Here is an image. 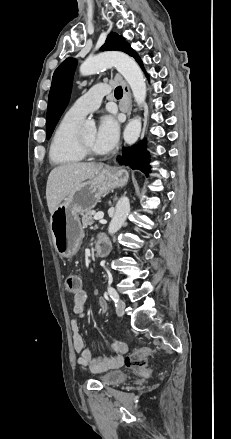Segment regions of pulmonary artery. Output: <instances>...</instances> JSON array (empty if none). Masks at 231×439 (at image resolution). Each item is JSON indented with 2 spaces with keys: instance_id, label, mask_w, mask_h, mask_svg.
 <instances>
[{
  "instance_id": "e3ab8cb5",
  "label": "pulmonary artery",
  "mask_w": 231,
  "mask_h": 439,
  "mask_svg": "<svg viewBox=\"0 0 231 439\" xmlns=\"http://www.w3.org/2000/svg\"><path fill=\"white\" fill-rule=\"evenodd\" d=\"M109 92L110 87L107 84L93 86L68 109L66 115L70 118L82 120L88 113L99 108L102 98Z\"/></svg>"
}]
</instances>
